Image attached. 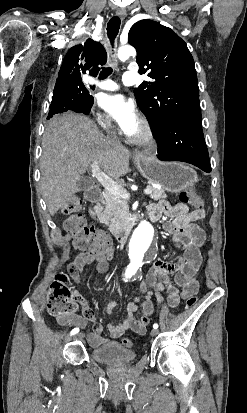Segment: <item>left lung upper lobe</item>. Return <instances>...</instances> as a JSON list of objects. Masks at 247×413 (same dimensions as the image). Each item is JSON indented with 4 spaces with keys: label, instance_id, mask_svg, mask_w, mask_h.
Listing matches in <instances>:
<instances>
[{
    "label": "left lung upper lobe",
    "instance_id": "obj_1",
    "mask_svg": "<svg viewBox=\"0 0 247 413\" xmlns=\"http://www.w3.org/2000/svg\"><path fill=\"white\" fill-rule=\"evenodd\" d=\"M128 42L137 50L139 72L152 79L134 90L152 131L174 119L201 123L197 75L186 43L170 28L148 19L131 27Z\"/></svg>",
    "mask_w": 247,
    "mask_h": 413
}]
</instances>
